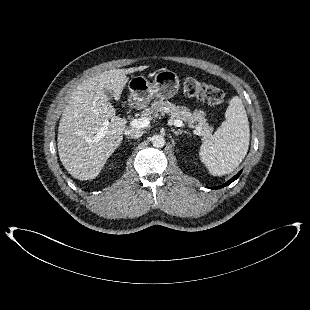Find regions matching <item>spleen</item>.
I'll list each match as a JSON object with an SVG mask.
<instances>
[{"label":"spleen","instance_id":"1","mask_svg":"<svg viewBox=\"0 0 310 310\" xmlns=\"http://www.w3.org/2000/svg\"><path fill=\"white\" fill-rule=\"evenodd\" d=\"M226 121L199 149L200 160L213 176L233 172L245 158L250 142L248 117L242 100L231 98Z\"/></svg>","mask_w":310,"mask_h":310}]
</instances>
